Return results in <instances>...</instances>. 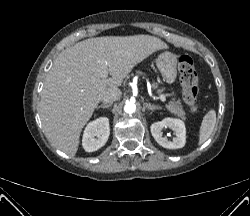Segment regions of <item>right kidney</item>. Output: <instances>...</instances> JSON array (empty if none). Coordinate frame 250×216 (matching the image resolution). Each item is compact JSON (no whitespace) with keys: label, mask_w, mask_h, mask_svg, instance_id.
I'll return each mask as SVG.
<instances>
[{"label":"right kidney","mask_w":250,"mask_h":216,"mask_svg":"<svg viewBox=\"0 0 250 216\" xmlns=\"http://www.w3.org/2000/svg\"><path fill=\"white\" fill-rule=\"evenodd\" d=\"M109 135V120L107 117H100L86 126L83 134L82 146L87 152L97 151L105 145Z\"/></svg>","instance_id":"right-kidney-1"}]
</instances>
